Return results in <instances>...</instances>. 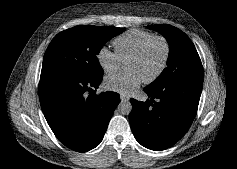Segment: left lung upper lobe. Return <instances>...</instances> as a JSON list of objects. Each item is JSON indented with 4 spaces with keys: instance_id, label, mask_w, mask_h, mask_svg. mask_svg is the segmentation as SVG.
Masks as SVG:
<instances>
[{
    "instance_id": "5c2ea615",
    "label": "left lung upper lobe",
    "mask_w": 237,
    "mask_h": 169,
    "mask_svg": "<svg viewBox=\"0 0 237 169\" xmlns=\"http://www.w3.org/2000/svg\"><path fill=\"white\" fill-rule=\"evenodd\" d=\"M147 28L161 33L169 44L167 67L148 87H156L181 79L203 77V68L196 48L188 36L178 28L161 24Z\"/></svg>"
}]
</instances>
